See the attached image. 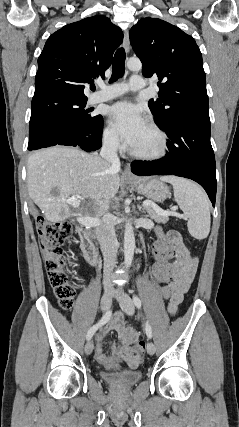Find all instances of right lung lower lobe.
Instances as JSON below:
<instances>
[{"instance_id": "1", "label": "right lung lower lobe", "mask_w": 239, "mask_h": 427, "mask_svg": "<svg viewBox=\"0 0 239 427\" xmlns=\"http://www.w3.org/2000/svg\"><path fill=\"white\" fill-rule=\"evenodd\" d=\"M103 130V118H100L86 131L77 133L68 126L52 128L44 132L36 145L28 148L34 151L44 147L54 145L79 146L83 150L90 152L101 147Z\"/></svg>"}]
</instances>
